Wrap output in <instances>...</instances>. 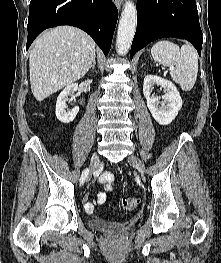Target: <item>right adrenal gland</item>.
I'll return each instance as SVG.
<instances>
[{
    "mask_svg": "<svg viewBox=\"0 0 221 263\" xmlns=\"http://www.w3.org/2000/svg\"><path fill=\"white\" fill-rule=\"evenodd\" d=\"M95 65H96V61L94 60L90 68L95 69Z\"/></svg>",
    "mask_w": 221,
    "mask_h": 263,
    "instance_id": "2a0ac1e0",
    "label": "right adrenal gland"
}]
</instances>
